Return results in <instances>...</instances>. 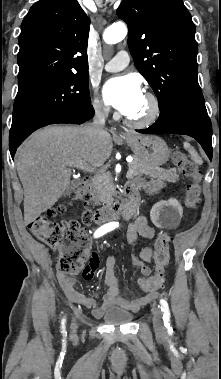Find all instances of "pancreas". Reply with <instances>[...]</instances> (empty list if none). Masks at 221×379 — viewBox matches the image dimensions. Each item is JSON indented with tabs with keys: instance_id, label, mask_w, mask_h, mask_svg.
<instances>
[{
	"instance_id": "1",
	"label": "pancreas",
	"mask_w": 221,
	"mask_h": 379,
	"mask_svg": "<svg viewBox=\"0 0 221 379\" xmlns=\"http://www.w3.org/2000/svg\"><path fill=\"white\" fill-rule=\"evenodd\" d=\"M128 166L129 170H131L135 176L144 174L150 178H157L168 182H176L179 180L176 169L165 170L150 166L138 158H134V161L129 163ZM91 193L94 199L101 202L113 200L116 191L110 173H102L94 179Z\"/></svg>"
}]
</instances>
